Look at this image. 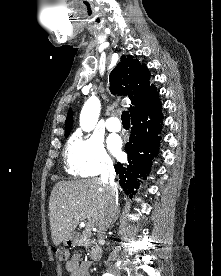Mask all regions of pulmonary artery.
Masks as SVG:
<instances>
[{"label": "pulmonary artery", "mask_w": 221, "mask_h": 276, "mask_svg": "<svg viewBox=\"0 0 221 276\" xmlns=\"http://www.w3.org/2000/svg\"><path fill=\"white\" fill-rule=\"evenodd\" d=\"M105 125H106V128L111 132H118L121 129L120 121L116 117L108 118Z\"/></svg>", "instance_id": "pulmonary-artery-1"}]
</instances>
